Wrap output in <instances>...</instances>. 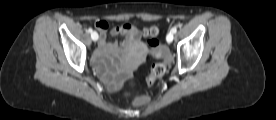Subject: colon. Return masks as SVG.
Here are the masks:
<instances>
[{"label":"colon","instance_id":"colon-1","mask_svg":"<svg viewBox=\"0 0 276 120\" xmlns=\"http://www.w3.org/2000/svg\"><path fill=\"white\" fill-rule=\"evenodd\" d=\"M143 33H144V36L147 38V47L149 49L150 55L154 59L160 60V62L156 63L153 66L151 73L147 78V84L151 86L165 73L166 63L169 59V53L156 40V36L158 35L157 27L155 26L148 27L144 30ZM135 85H136V78L134 76L129 77L126 82V89L133 88ZM123 95L126 97H131L133 103L138 106L146 105L149 102V98L147 96L132 97L128 90L124 91Z\"/></svg>","mask_w":276,"mask_h":120}]
</instances>
